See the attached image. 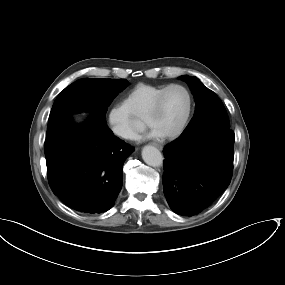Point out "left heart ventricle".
<instances>
[{
	"mask_svg": "<svg viewBox=\"0 0 285 285\" xmlns=\"http://www.w3.org/2000/svg\"><path fill=\"white\" fill-rule=\"evenodd\" d=\"M187 108V95L183 89H169L160 110L149 119L152 129L158 134L173 132L181 122Z\"/></svg>",
	"mask_w": 285,
	"mask_h": 285,
	"instance_id": "b2bd125f",
	"label": "left heart ventricle"
}]
</instances>
